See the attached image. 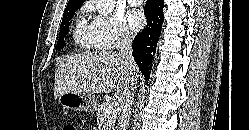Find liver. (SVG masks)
<instances>
[{
	"label": "liver",
	"instance_id": "liver-1",
	"mask_svg": "<svg viewBox=\"0 0 249 130\" xmlns=\"http://www.w3.org/2000/svg\"><path fill=\"white\" fill-rule=\"evenodd\" d=\"M135 77L138 80V68ZM129 88L128 71L115 52H85L64 58L56 64V99L67 92L98 94L115 90V97L121 104Z\"/></svg>",
	"mask_w": 249,
	"mask_h": 130
}]
</instances>
